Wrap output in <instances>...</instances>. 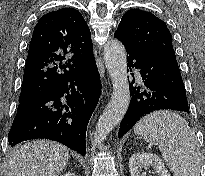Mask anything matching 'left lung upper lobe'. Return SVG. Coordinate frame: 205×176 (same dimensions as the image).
Masks as SVG:
<instances>
[{"mask_svg":"<svg viewBox=\"0 0 205 176\" xmlns=\"http://www.w3.org/2000/svg\"><path fill=\"white\" fill-rule=\"evenodd\" d=\"M122 41L156 58L176 60L172 35L164 21L139 9L127 11L115 32Z\"/></svg>","mask_w":205,"mask_h":176,"instance_id":"obj_1","label":"left lung upper lobe"}]
</instances>
